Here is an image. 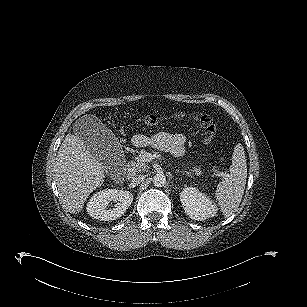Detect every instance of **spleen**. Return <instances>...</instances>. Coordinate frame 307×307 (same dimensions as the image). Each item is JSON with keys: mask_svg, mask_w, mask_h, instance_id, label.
I'll return each instance as SVG.
<instances>
[{"mask_svg": "<svg viewBox=\"0 0 307 307\" xmlns=\"http://www.w3.org/2000/svg\"><path fill=\"white\" fill-rule=\"evenodd\" d=\"M227 177L218 184L214 193L216 203L213 205L214 210H220L225 217L238 210L245 190L247 166L243 147L240 144L234 150L230 174Z\"/></svg>", "mask_w": 307, "mask_h": 307, "instance_id": "3e777b00", "label": "spleen"}]
</instances>
